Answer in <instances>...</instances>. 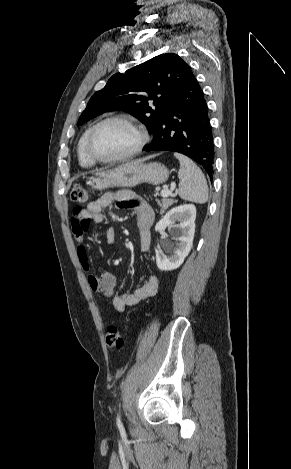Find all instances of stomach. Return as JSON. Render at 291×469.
<instances>
[{
    "mask_svg": "<svg viewBox=\"0 0 291 469\" xmlns=\"http://www.w3.org/2000/svg\"><path fill=\"white\" fill-rule=\"evenodd\" d=\"M168 177L169 170L164 164L133 161L114 169L96 172L88 178L87 184L96 190L111 187L130 188L141 183L163 184Z\"/></svg>",
    "mask_w": 291,
    "mask_h": 469,
    "instance_id": "stomach-1",
    "label": "stomach"
}]
</instances>
